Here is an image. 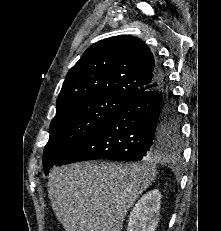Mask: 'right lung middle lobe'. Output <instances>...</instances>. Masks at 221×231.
<instances>
[{
    "mask_svg": "<svg viewBox=\"0 0 221 231\" xmlns=\"http://www.w3.org/2000/svg\"><path fill=\"white\" fill-rule=\"evenodd\" d=\"M127 100L114 95L90 96L77 100L58 110L50 124V138L44 148L45 174L81 143L94 134L101 125ZM165 138L178 147L181 142L177 111L171 113V128Z\"/></svg>",
    "mask_w": 221,
    "mask_h": 231,
    "instance_id": "1",
    "label": "right lung middle lobe"
}]
</instances>
